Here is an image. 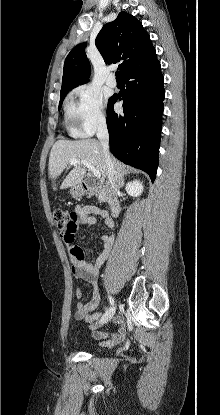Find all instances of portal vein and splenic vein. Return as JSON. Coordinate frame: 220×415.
I'll list each match as a JSON object with an SVG mask.
<instances>
[{
    "label": "portal vein and splenic vein",
    "mask_w": 220,
    "mask_h": 415,
    "mask_svg": "<svg viewBox=\"0 0 220 415\" xmlns=\"http://www.w3.org/2000/svg\"><path fill=\"white\" fill-rule=\"evenodd\" d=\"M69 162H70L71 165H76L77 163L81 162L85 167H87L93 173V175L96 178H100L101 177L100 172L98 170H96L95 167L91 163H89L88 161H86V160H81L80 161L78 159L72 158V159H70Z\"/></svg>",
    "instance_id": "18ae733b"
}]
</instances>
